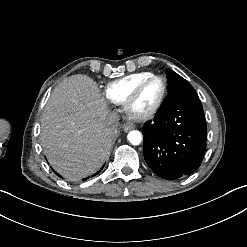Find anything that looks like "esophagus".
<instances>
[{
  "instance_id": "obj_1",
  "label": "esophagus",
  "mask_w": 247,
  "mask_h": 247,
  "mask_svg": "<svg viewBox=\"0 0 247 247\" xmlns=\"http://www.w3.org/2000/svg\"><path fill=\"white\" fill-rule=\"evenodd\" d=\"M135 128V125L131 122H126L123 124L122 129L124 132H128Z\"/></svg>"
}]
</instances>
